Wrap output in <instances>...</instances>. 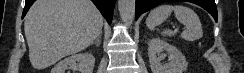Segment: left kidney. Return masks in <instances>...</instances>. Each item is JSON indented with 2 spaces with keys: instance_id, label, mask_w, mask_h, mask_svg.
<instances>
[{
  "instance_id": "5707ae66",
  "label": "left kidney",
  "mask_w": 244,
  "mask_h": 73,
  "mask_svg": "<svg viewBox=\"0 0 244 73\" xmlns=\"http://www.w3.org/2000/svg\"><path fill=\"white\" fill-rule=\"evenodd\" d=\"M164 51L168 54V63L162 64L161 55ZM149 63L153 73H183L187 70L188 63L185 56L173 45L158 38H153L148 43Z\"/></svg>"
}]
</instances>
